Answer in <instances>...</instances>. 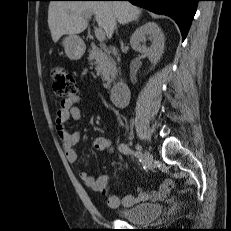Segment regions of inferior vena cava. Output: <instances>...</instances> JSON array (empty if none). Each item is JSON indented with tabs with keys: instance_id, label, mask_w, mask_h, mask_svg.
<instances>
[{
	"instance_id": "obj_1",
	"label": "inferior vena cava",
	"mask_w": 231,
	"mask_h": 231,
	"mask_svg": "<svg viewBox=\"0 0 231 231\" xmlns=\"http://www.w3.org/2000/svg\"><path fill=\"white\" fill-rule=\"evenodd\" d=\"M113 29H116V21L113 20Z\"/></svg>"
}]
</instances>
